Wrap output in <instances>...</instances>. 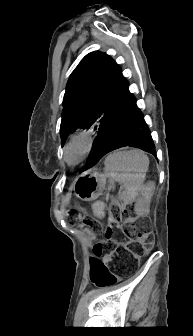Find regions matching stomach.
Segmentation results:
<instances>
[{
    "instance_id": "stomach-1",
    "label": "stomach",
    "mask_w": 193,
    "mask_h": 336,
    "mask_svg": "<svg viewBox=\"0 0 193 336\" xmlns=\"http://www.w3.org/2000/svg\"><path fill=\"white\" fill-rule=\"evenodd\" d=\"M106 184V175L97 171H88L77 177L74 190L83 201H93L98 198Z\"/></svg>"
}]
</instances>
